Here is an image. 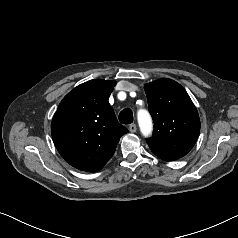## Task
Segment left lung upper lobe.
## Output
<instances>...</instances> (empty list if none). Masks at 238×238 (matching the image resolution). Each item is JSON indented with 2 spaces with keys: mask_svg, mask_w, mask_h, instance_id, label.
<instances>
[{
  "mask_svg": "<svg viewBox=\"0 0 238 238\" xmlns=\"http://www.w3.org/2000/svg\"><path fill=\"white\" fill-rule=\"evenodd\" d=\"M144 89L154 121L153 136L146 140L151 151L159 158H181L193 148L200 132L194 104L185 89L168 78L148 83Z\"/></svg>",
  "mask_w": 238,
  "mask_h": 238,
  "instance_id": "5c2ea615",
  "label": "left lung upper lobe"
}]
</instances>
